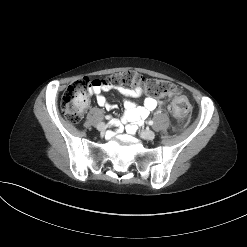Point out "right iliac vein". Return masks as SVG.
Listing matches in <instances>:
<instances>
[{
    "label": "right iliac vein",
    "instance_id": "1",
    "mask_svg": "<svg viewBox=\"0 0 247 247\" xmlns=\"http://www.w3.org/2000/svg\"><path fill=\"white\" fill-rule=\"evenodd\" d=\"M97 129L101 132H105V130L107 129V125L105 123H99L97 125Z\"/></svg>",
    "mask_w": 247,
    "mask_h": 247
}]
</instances>
